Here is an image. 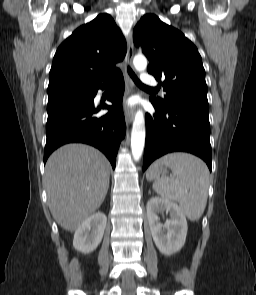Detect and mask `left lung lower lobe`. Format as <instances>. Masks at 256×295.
<instances>
[{"label":"left lung lower lobe","mask_w":256,"mask_h":295,"mask_svg":"<svg viewBox=\"0 0 256 295\" xmlns=\"http://www.w3.org/2000/svg\"><path fill=\"white\" fill-rule=\"evenodd\" d=\"M155 115L146 114V143L143 171L155 159L176 151L202 158L211 171L209 111L187 106L161 108L153 103Z\"/></svg>","instance_id":"0a47b994"}]
</instances>
